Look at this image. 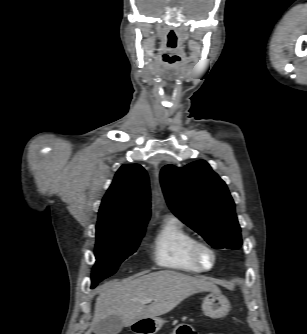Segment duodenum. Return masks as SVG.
I'll list each match as a JSON object with an SVG mask.
<instances>
[{"label": "duodenum", "instance_id": "obj_1", "mask_svg": "<svg viewBox=\"0 0 307 334\" xmlns=\"http://www.w3.org/2000/svg\"><path fill=\"white\" fill-rule=\"evenodd\" d=\"M137 332H142V333H150L152 332L151 330H144V329H139Z\"/></svg>", "mask_w": 307, "mask_h": 334}]
</instances>
